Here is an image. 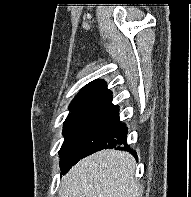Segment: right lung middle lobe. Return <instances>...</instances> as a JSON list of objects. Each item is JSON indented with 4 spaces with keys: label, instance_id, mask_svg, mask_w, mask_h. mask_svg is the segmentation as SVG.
<instances>
[{
    "label": "right lung middle lobe",
    "instance_id": "dd1d6c3e",
    "mask_svg": "<svg viewBox=\"0 0 191 197\" xmlns=\"http://www.w3.org/2000/svg\"><path fill=\"white\" fill-rule=\"evenodd\" d=\"M92 109H84L72 111L67 116L64 122L63 135L65 140L59 151L60 168L63 169L67 159L70 157L71 148L77 138V135Z\"/></svg>",
    "mask_w": 191,
    "mask_h": 197
}]
</instances>
